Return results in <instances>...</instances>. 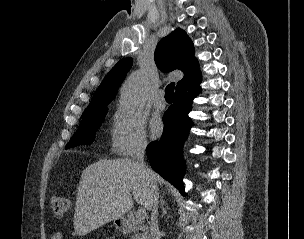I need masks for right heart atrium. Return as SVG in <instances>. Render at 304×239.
<instances>
[{"label": "right heart atrium", "mask_w": 304, "mask_h": 239, "mask_svg": "<svg viewBox=\"0 0 304 239\" xmlns=\"http://www.w3.org/2000/svg\"><path fill=\"white\" fill-rule=\"evenodd\" d=\"M108 146L112 152L122 156L142 152L147 146L143 119L122 107H117L108 131Z\"/></svg>", "instance_id": "right-heart-atrium-1"}]
</instances>
